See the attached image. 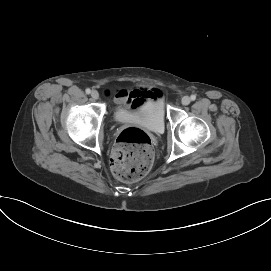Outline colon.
Returning a JSON list of instances; mask_svg holds the SVG:
<instances>
[{"mask_svg": "<svg viewBox=\"0 0 271 271\" xmlns=\"http://www.w3.org/2000/svg\"><path fill=\"white\" fill-rule=\"evenodd\" d=\"M153 158L150 136L140 128L129 127L117 137L111 153V171L121 181H137L149 172Z\"/></svg>", "mask_w": 271, "mask_h": 271, "instance_id": "5ec220e1", "label": "colon"}]
</instances>
